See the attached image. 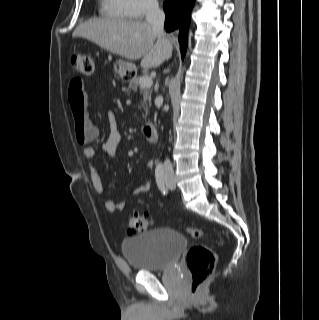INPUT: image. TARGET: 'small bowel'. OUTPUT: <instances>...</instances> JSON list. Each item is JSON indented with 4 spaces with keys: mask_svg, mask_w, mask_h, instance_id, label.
<instances>
[{
    "mask_svg": "<svg viewBox=\"0 0 319 320\" xmlns=\"http://www.w3.org/2000/svg\"><path fill=\"white\" fill-rule=\"evenodd\" d=\"M70 109L73 116L82 114L86 119L88 125L94 130L95 137L98 136V128L88 119L86 113L87 106V94L84 88V83L81 79H73L69 84L68 94ZM109 131L105 138L103 149L109 156L116 154L117 148L121 143V133L115 125V120L112 114L108 115ZM83 155L86 159L92 160L95 156V150L91 146H86L83 149ZM148 168L153 167V161L149 160L146 163ZM90 182L95 192L100 196L106 211L110 213L123 211L125 203L122 201L115 202L105 196L104 184L102 178L95 166L91 167ZM149 190V184L147 182L133 188L130 191L132 196H138L146 193Z\"/></svg>",
    "mask_w": 319,
    "mask_h": 320,
    "instance_id": "1",
    "label": "small bowel"
}]
</instances>
